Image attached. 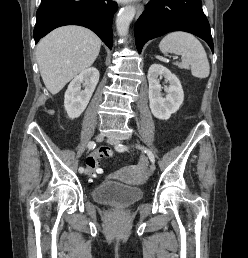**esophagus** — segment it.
I'll list each match as a JSON object with an SVG mask.
<instances>
[{
  "instance_id": "obj_1",
  "label": "esophagus",
  "mask_w": 248,
  "mask_h": 258,
  "mask_svg": "<svg viewBox=\"0 0 248 258\" xmlns=\"http://www.w3.org/2000/svg\"><path fill=\"white\" fill-rule=\"evenodd\" d=\"M136 11H137V17L142 13L143 11V5L142 4H137L136 5Z\"/></svg>"
}]
</instances>
